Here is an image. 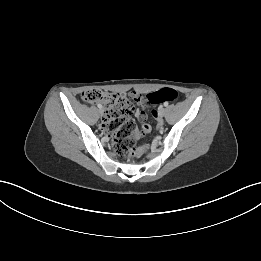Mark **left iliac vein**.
Returning a JSON list of instances; mask_svg holds the SVG:
<instances>
[{
    "label": "left iliac vein",
    "mask_w": 261,
    "mask_h": 261,
    "mask_svg": "<svg viewBox=\"0 0 261 261\" xmlns=\"http://www.w3.org/2000/svg\"><path fill=\"white\" fill-rule=\"evenodd\" d=\"M165 112H166L165 108L161 107V108L159 109V116H160V117H163V116L165 115Z\"/></svg>",
    "instance_id": "4c4485c4"
}]
</instances>
